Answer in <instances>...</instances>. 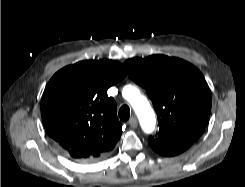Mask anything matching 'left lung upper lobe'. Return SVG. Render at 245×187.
I'll return each instance as SVG.
<instances>
[{
    "mask_svg": "<svg viewBox=\"0 0 245 187\" xmlns=\"http://www.w3.org/2000/svg\"><path fill=\"white\" fill-rule=\"evenodd\" d=\"M126 66L131 79L144 87L157 113L164 142L197 141L211 111V92L202 73L179 58L152 55L132 58Z\"/></svg>",
    "mask_w": 245,
    "mask_h": 187,
    "instance_id": "5c2ea615",
    "label": "left lung upper lobe"
}]
</instances>
